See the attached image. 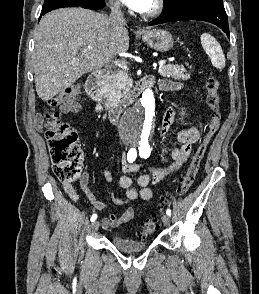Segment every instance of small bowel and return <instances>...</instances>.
Instances as JSON below:
<instances>
[{"label": "small bowel", "mask_w": 259, "mask_h": 294, "mask_svg": "<svg viewBox=\"0 0 259 294\" xmlns=\"http://www.w3.org/2000/svg\"><path fill=\"white\" fill-rule=\"evenodd\" d=\"M159 88L162 91H174L181 88L179 82H175L168 79H163L159 82ZM63 113H77L80 110V105L77 102H71L64 104L60 107ZM175 109L173 107L168 108L162 118L161 122V159H164L165 155L169 154L172 159V164L167 169H157L144 172L139 175L136 181L133 180L131 174L139 171V167L129 162L127 157L123 158L122 170L123 175L119 178V185L126 190L125 197H113V202L117 205L128 204L138 198L143 201H150L154 197L153 190L150 188L151 184H157L162 181L167 175L177 171L183 166L191 154L192 145L196 143L200 138V132L196 127L184 129L177 133L171 132V127L175 119ZM44 119L41 114H37L34 119V126L38 131L43 129ZM179 143L180 147H176L175 143ZM103 178L107 182H112L114 179L113 173L110 170L103 171ZM89 174L83 172L80 177V186L84 194L97 210H103L105 203L98 200L89 190ZM64 191L68 196L74 200H78V194L70 183H63ZM134 217L133 208H127L121 215L116 216L110 214L108 217L102 219V227L104 229L115 228L120 225L130 222Z\"/></svg>", "instance_id": "c3829d8e"}]
</instances>
